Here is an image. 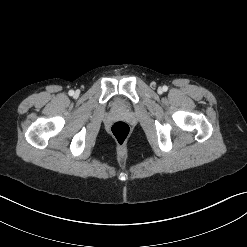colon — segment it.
Returning <instances> with one entry per match:
<instances>
[{
    "label": "colon",
    "mask_w": 247,
    "mask_h": 247,
    "mask_svg": "<svg viewBox=\"0 0 247 247\" xmlns=\"http://www.w3.org/2000/svg\"><path fill=\"white\" fill-rule=\"evenodd\" d=\"M111 134L120 145L124 144L130 135V126L123 121H117L111 126Z\"/></svg>",
    "instance_id": "5ec220e1"
}]
</instances>
